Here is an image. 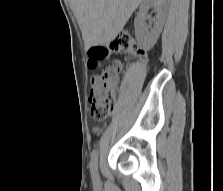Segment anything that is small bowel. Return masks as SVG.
<instances>
[{
	"label": "small bowel",
	"mask_w": 223,
	"mask_h": 191,
	"mask_svg": "<svg viewBox=\"0 0 223 191\" xmlns=\"http://www.w3.org/2000/svg\"><path fill=\"white\" fill-rule=\"evenodd\" d=\"M100 131H101L100 127H98V126L94 127V132L95 133H99Z\"/></svg>",
	"instance_id": "small-bowel-1"
}]
</instances>
